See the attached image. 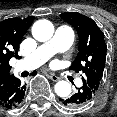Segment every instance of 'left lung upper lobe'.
Wrapping results in <instances>:
<instances>
[{
    "instance_id": "obj_1",
    "label": "left lung upper lobe",
    "mask_w": 117,
    "mask_h": 117,
    "mask_svg": "<svg viewBox=\"0 0 117 117\" xmlns=\"http://www.w3.org/2000/svg\"><path fill=\"white\" fill-rule=\"evenodd\" d=\"M60 17L71 24L79 36V53L70 69L84 73L83 84L96 94L102 82L106 61L104 34L92 19L78 12L63 13Z\"/></svg>"
}]
</instances>
